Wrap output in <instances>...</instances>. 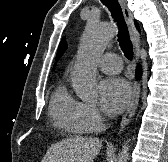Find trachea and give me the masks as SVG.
<instances>
[{
	"instance_id": "trachea-1",
	"label": "trachea",
	"mask_w": 168,
	"mask_h": 162,
	"mask_svg": "<svg viewBox=\"0 0 168 162\" xmlns=\"http://www.w3.org/2000/svg\"><path fill=\"white\" fill-rule=\"evenodd\" d=\"M101 2L108 7L109 11L118 26V42L128 60L133 58V45L130 40L127 24L123 17L122 8L118 0H101Z\"/></svg>"
}]
</instances>
